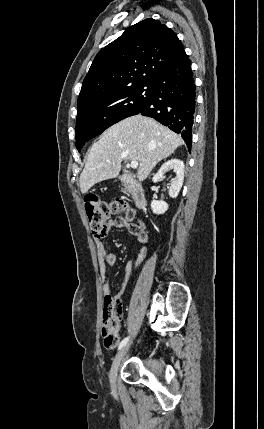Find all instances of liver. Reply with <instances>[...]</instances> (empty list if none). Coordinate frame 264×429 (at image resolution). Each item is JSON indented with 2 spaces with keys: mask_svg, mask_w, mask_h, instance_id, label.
Wrapping results in <instances>:
<instances>
[{
  "mask_svg": "<svg viewBox=\"0 0 264 429\" xmlns=\"http://www.w3.org/2000/svg\"><path fill=\"white\" fill-rule=\"evenodd\" d=\"M180 135L155 120L134 115L109 127L94 143L80 175L83 194L95 184L116 178L122 161H137V178L145 180L156 164L183 144Z\"/></svg>",
  "mask_w": 264,
  "mask_h": 429,
  "instance_id": "obj_1",
  "label": "liver"
}]
</instances>
